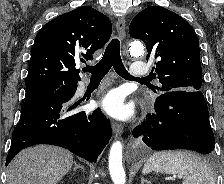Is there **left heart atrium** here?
<instances>
[{
	"instance_id": "1",
	"label": "left heart atrium",
	"mask_w": 224,
	"mask_h": 184,
	"mask_svg": "<svg viewBox=\"0 0 224 184\" xmlns=\"http://www.w3.org/2000/svg\"><path fill=\"white\" fill-rule=\"evenodd\" d=\"M103 109L116 118H126L131 113L129 106L124 104L123 96L119 91L109 92L102 101Z\"/></svg>"
}]
</instances>
